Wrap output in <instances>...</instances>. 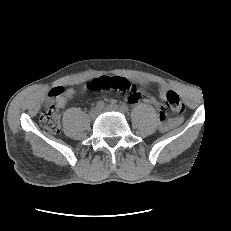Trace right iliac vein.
<instances>
[{
	"instance_id": "right-iliac-vein-1",
	"label": "right iliac vein",
	"mask_w": 231,
	"mask_h": 231,
	"mask_svg": "<svg viewBox=\"0 0 231 231\" xmlns=\"http://www.w3.org/2000/svg\"><path fill=\"white\" fill-rule=\"evenodd\" d=\"M99 113H100L99 109L93 108V109L90 110L89 116H90L91 119H95L99 115Z\"/></svg>"
}]
</instances>
